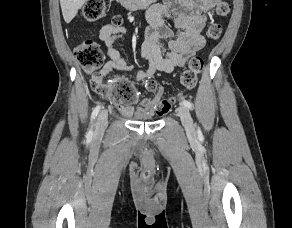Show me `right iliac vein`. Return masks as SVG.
<instances>
[{
  "instance_id": "obj_1",
  "label": "right iliac vein",
  "mask_w": 292,
  "mask_h": 228,
  "mask_svg": "<svg viewBox=\"0 0 292 228\" xmlns=\"http://www.w3.org/2000/svg\"><path fill=\"white\" fill-rule=\"evenodd\" d=\"M107 125H108V112L106 110H102L96 120L95 135L96 136L103 135Z\"/></svg>"
}]
</instances>
